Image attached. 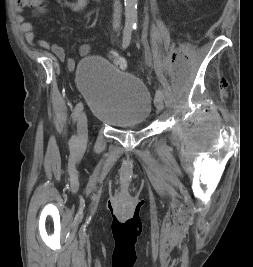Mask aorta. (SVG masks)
Wrapping results in <instances>:
<instances>
[{"mask_svg":"<svg viewBox=\"0 0 253 267\" xmlns=\"http://www.w3.org/2000/svg\"><path fill=\"white\" fill-rule=\"evenodd\" d=\"M137 0H125V26H137Z\"/></svg>","mask_w":253,"mask_h":267,"instance_id":"762f6f07","label":"aorta"}]
</instances>
